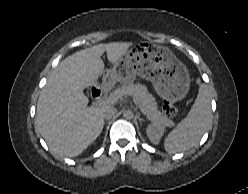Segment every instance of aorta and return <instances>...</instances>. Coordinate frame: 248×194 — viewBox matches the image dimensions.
I'll use <instances>...</instances> for the list:
<instances>
[{"instance_id":"aorta-1","label":"aorta","mask_w":248,"mask_h":194,"mask_svg":"<svg viewBox=\"0 0 248 194\" xmlns=\"http://www.w3.org/2000/svg\"><path fill=\"white\" fill-rule=\"evenodd\" d=\"M123 117L127 120H131L134 117V113L132 110L128 109L123 112Z\"/></svg>"}]
</instances>
